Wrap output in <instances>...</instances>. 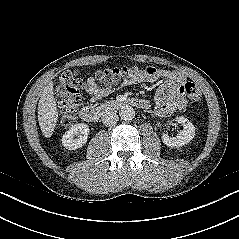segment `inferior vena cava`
Returning <instances> with one entry per match:
<instances>
[{"label":"inferior vena cava","instance_id":"obj_1","mask_svg":"<svg viewBox=\"0 0 239 239\" xmlns=\"http://www.w3.org/2000/svg\"><path fill=\"white\" fill-rule=\"evenodd\" d=\"M118 120H119V117L114 112H108L102 116V123L105 126H113L117 123Z\"/></svg>","mask_w":239,"mask_h":239}]
</instances>
